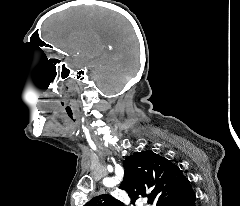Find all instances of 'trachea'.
Instances as JSON below:
<instances>
[{
    "mask_svg": "<svg viewBox=\"0 0 240 206\" xmlns=\"http://www.w3.org/2000/svg\"><path fill=\"white\" fill-rule=\"evenodd\" d=\"M148 202H149L150 204H152V203H153V199L150 198Z\"/></svg>",
    "mask_w": 240,
    "mask_h": 206,
    "instance_id": "obj_1",
    "label": "trachea"
}]
</instances>
